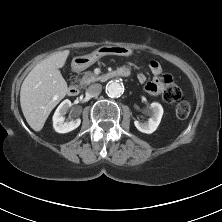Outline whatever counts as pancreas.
<instances>
[{"instance_id": "pancreas-1", "label": "pancreas", "mask_w": 222, "mask_h": 222, "mask_svg": "<svg viewBox=\"0 0 222 222\" xmlns=\"http://www.w3.org/2000/svg\"><path fill=\"white\" fill-rule=\"evenodd\" d=\"M99 80H100V77L96 76L91 71H86L84 72L83 77L79 79V82H80L81 87H85L89 85L90 83H93Z\"/></svg>"}]
</instances>
